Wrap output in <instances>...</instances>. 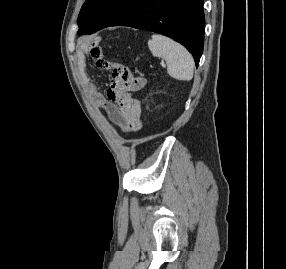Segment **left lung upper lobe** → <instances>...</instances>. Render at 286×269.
<instances>
[{"mask_svg": "<svg viewBox=\"0 0 286 269\" xmlns=\"http://www.w3.org/2000/svg\"><path fill=\"white\" fill-rule=\"evenodd\" d=\"M143 0H86L78 16V35L91 34L118 21Z\"/></svg>", "mask_w": 286, "mask_h": 269, "instance_id": "1", "label": "left lung upper lobe"}]
</instances>
